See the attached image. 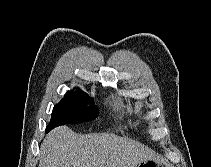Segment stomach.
<instances>
[{
    "label": "stomach",
    "instance_id": "0dacf381",
    "mask_svg": "<svg viewBox=\"0 0 211 167\" xmlns=\"http://www.w3.org/2000/svg\"><path fill=\"white\" fill-rule=\"evenodd\" d=\"M136 167H163L162 163L155 158H148L141 161Z\"/></svg>",
    "mask_w": 211,
    "mask_h": 167
}]
</instances>
